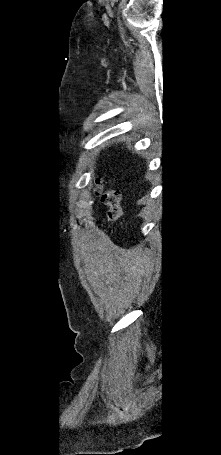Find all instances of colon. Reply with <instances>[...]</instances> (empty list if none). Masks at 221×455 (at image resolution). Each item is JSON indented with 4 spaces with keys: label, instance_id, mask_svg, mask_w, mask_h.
I'll return each mask as SVG.
<instances>
[{
    "label": "colon",
    "instance_id": "1",
    "mask_svg": "<svg viewBox=\"0 0 221 455\" xmlns=\"http://www.w3.org/2000/svg\"><path fill=\"white\" fill-rule=\"evenodd\" d=\"M95 192L108 207L107 219L109 221L116 220L121 214L120 193L117 190L105 189L102 182L98 184Z\"/></svg>",
    "mask_w": 221,
    "mask_h": 455
}]
</instances>
